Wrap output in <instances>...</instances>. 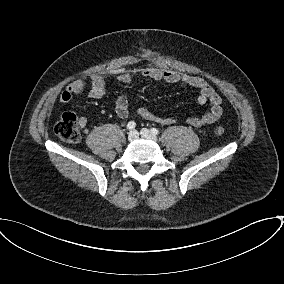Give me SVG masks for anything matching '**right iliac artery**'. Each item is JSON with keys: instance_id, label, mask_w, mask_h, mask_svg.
<instances>
[{"instance_id": "obj_1", "label": "right iliac artery", "mask_w": 284, "mask_h": 284, "mask_svg": "<svg viewBox=\"0 0 284 284\" xmlns=\"http://www.w3.org/2000/svg\"><path fill=\"white\" fill-rule=\"evenodd\" d=\"M135 126H136V123H135L134 121H130V122L127 124V128H128L129 130L134 129Z\"/></svg>"}]
</instances>
